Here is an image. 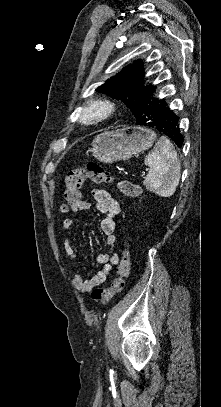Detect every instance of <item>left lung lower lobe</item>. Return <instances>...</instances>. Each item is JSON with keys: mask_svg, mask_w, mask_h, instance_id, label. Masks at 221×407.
Instances as JSON below:
<instances>
[{"mask_svg": "<svg viewBox=\"0 0 221 407\" xmlns=\"http://www.w3.org/2000/svg\"><path fill=\"white\" fill-rule=\"evenodd\" d=\"M136 124L155 128L171 138L178 146L183 143V137L178 127L179 117L160 99L155 87L144 90L140 97V106L135 115Z\"/></svg>", "mask_w": 221, "mask_h": 407, "instance_id": "left-lung-lower-lobe-1", "label": "left lung lower lobe"}]
</instances>
